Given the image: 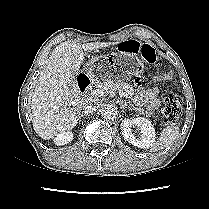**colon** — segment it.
Masks as SVG:
<instances>
[{
  "label": "colon",
  "instance_id": "1",
  "mask_svg": "<svg viewBox=\"0 0 209 209\" xmlns=\"http://www.w3.org/2000/svg\"><path fill=\"white\" fill-rule=\"evenodd\" d=\"M120 50L127 53L139 54L142 59L149 64L155 65L158 63L156 50L148 43L136 40L126 41L120 46ZM181 108L182 104L180 98L176 94L168 92L163 103L164 119L169 123L176 121L180 115Z\"/></svg>",
  "mask_w": 209,
  "mask_h": 209
}]
</instances>
